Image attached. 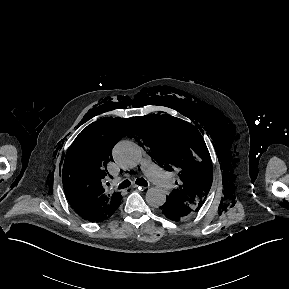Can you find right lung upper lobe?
Returning <instances> with one entry per match:
<instances>
[{"label": "right lung upper lobe", "instance_id": "cb5924a9", "mask_svg": "<svg viewBox=\"0 0 289 289\" xmlns=\"http://www.w3.org/2000/svg\"><path fill=\"white\" fill-rule=\"evenodd\" d=\"M108 123L97 122L78 135L71 145L63 166V186L66 197L83 219L101 222L109 218L121 203L119 193L107 194L102 178L106 163L112 159L111 150L130 129V119L111 118Z\"/></svg>", "mask_w": 289, "mask_h": 289}]
</instances>
